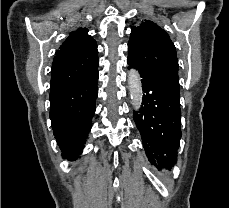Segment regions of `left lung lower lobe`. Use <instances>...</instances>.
I'll list each match as a JSON object with an SVG mask.
<instances>
[{
    "label": "left lung lower lobe",
    "mask_w": 229,
    "mask_h": 208,
    "mask_svg": "<svg viewBox=\"0 0 229 208\" xmlns=\"http://www.w3.org/2000/svg\"><path fill=\"white\" fill-rule=\"evenodd\" d=\"M129 68L135 67L127 61ZM143 100L134 121L141 132L149 161L159 170H171L177 159L182 137L180 96H176L141 77Z\"/></svg>",
    "instance_id": "left-lung-lower-lobe-1"
}]
</instances>
